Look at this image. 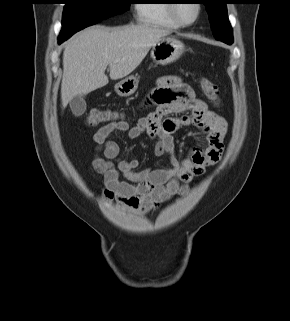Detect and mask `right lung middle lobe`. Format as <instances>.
I'll list each match as a JSON object with an SVG mask.
<instances>
[{"label":"right lung middle lobe","instance_id":"dd1d6c3e","mask_svg":"<svg viewBox=\"0 0 290 321\" xmlns=\"http://www.w3.org/2000/svg\"><path fill=\"white\" fill-rule=\"evenodd\" d=\"M59 39L66 40L77 31L127 11L130 0H64Z\"/></svg>","mask_w":290,"mask_h":321}]
</instances>
